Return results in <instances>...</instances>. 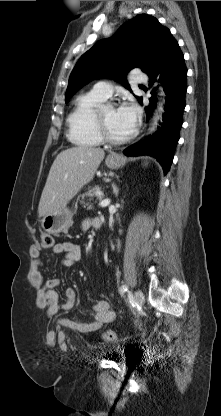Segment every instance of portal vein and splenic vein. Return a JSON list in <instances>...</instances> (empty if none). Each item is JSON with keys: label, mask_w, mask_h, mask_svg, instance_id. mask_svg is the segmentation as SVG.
Returning <instances> with one entry per match:
<instances>
[{"label": "portal vein and splenic vein", "mask_w": 221, "mask_h": 416, "mask_svg": "<svg viewBox=\"0 0 221 416\" xmlns=\"http://www.w3.org/2000/svg\"><path fill=\"white\" fill-rule=\"evenodd\" d=\"M98 194L99 195H101L102 193L101 192H98ZM110 204V199H108V198H106V199H104V200H102L101 202H100V206L101 207H106V206H108Z\"/></svg>", "instance_id": "obj_1"}]
</instances>
